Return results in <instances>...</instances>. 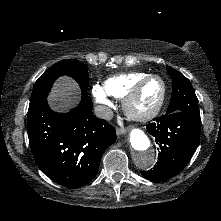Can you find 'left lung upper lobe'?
Masks as SVG:
<instances>
[{
    "mask_svg": "<svg viewBox=\"0 0 221 221\" xmlns=\"http://www.w3.org/2000/svg\"><path fill=\"white\" fill-rule=\"evenodd\" d=\"M173 83L171 100L166 114L174 112H187L190 116L200 120L198 99L190 81L180 72L166 66Z\"/></svg>",
    "mask_w": 221,
    "mask_h": 221,
    "instance_id": "5c2ea615",
    "label": "left lung upper lobe"
}]
</instances>
